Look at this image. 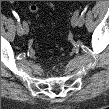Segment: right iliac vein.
Segmentation results:
<instances>
[{"instance_id":"obj_1","label":"right iliac vein","mask_w":109,"mask_h":109,"mask_svg":"<svg viewBox=\"0 0 109 109\" xmlns=\"http://www.w3.org/2000/svg\"><path fill=\"white\" fill-rule=\"evenodd\" d=\"M22 28H23V33H24V34H27L28 31H29V28H28V25H27L26 22H23V23H22Z\"/></svg>"}]
</instances>
